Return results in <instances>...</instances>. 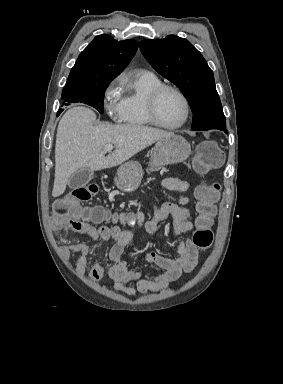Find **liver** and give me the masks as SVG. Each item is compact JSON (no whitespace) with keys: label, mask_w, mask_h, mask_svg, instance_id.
Returning a JSON list of instances; mask_svg holds the SVG:
<instances>
[{"label":"liver","mask_w":283,"mask_h":384,"mask_svg":"<svg viewBox=\"0 0 283 384\" xmlns=\"http://www.w3.org/2000/svg\"><path fill=\"white\" fill-rule=\"evenodd\" d=\"M95 120V112L82 106L70 108L62 116L56 136L53 198L64 194L67 182L78 170L114 168L154 142L174 136L173 132L147 128L142 124L93 126ZM106 144L115 146L109 156H104Z\"/></svg>","instance_id":"6515ba94"}]
</instances>
